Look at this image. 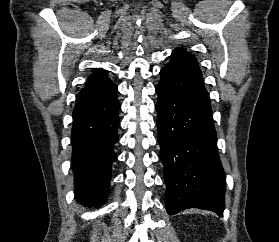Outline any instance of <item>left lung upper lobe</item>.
<instances>
[{
  "label": "left lung upper lobe",
  "instance_id": "1",
  "mask_svg": "<svg viewBox=\"0 0 279 242\" xmlns=\"http://www.w3.org/2000/svg\"><path fill=\"white\" fill-rule=\"evenodd\" d=\"M174 51L182 52V53H185V54L191 56L184 48L176 49V50H174ZM191 57H192V56H191ZM192 58L196 61V59H195L194 57H192Z\"/></svg>",
  "mask_w": 279,
  "mask_h": 242
}]
</instances>
